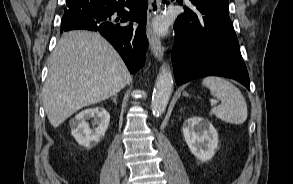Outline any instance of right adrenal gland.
Instances as JSON below:
<instances>
[{"instance_id":"right-adrenal-gland-1","label":"right adrenal gland","mask_w":293,"mask_h":184,"mask_svg":"<svg viewBox=\"0 0 293 184\" xmlns=\"http://www.w3.org/2000/svg\"><path fill=\"white\" fill-rule=\"evenodd\" d=\"M117 97H118V94L114 95V97L111 98L115 104H117Z\"/></svg>"}]
</instances>
